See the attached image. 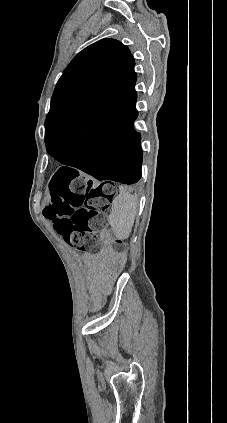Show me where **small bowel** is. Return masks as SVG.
Segmentation results:
<instances>
[{
	"mask_svg": "<svg viewBox=\"0 0 227 423\" xmlns=\"http://www.w3.org/2000/svg\"><path fill=\"white\" fill-rule=\"evenodd\" d=\"M102 271L98 274L92 288L91 306L93 309L99 307L102 303V289L106 287L113 279L114 275L120 269L121 263L118 257L112 254H103Z\"/></svg>",
	"mask_w": 227,
	"mask_h": 423,
	"instance_id": "obj_1",
	"label": "small bowel"
}]
</instances>
